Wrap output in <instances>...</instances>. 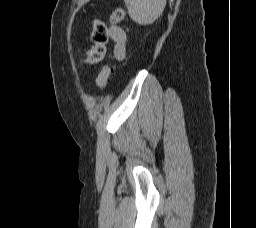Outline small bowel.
I'll list each match as a JSON object with an SVG mask.
<instances>
[{"label": "small bowel", "instance_id": "c3829d8e", "mask_svg": "<svg viewBox=\"0 0 256 228\" xmlns=\"http://www.w3.org/2000/svg\"><path fill=\"white\" fill-rule=\"evenodd\" d=\"M109 35L114 42V57L119 61L123 60L125 58L127 41L125 31L121 27L111 24L109 26Z\"/></svg>", "mask_w": 256, "mask_h": 228}]
</instances>
